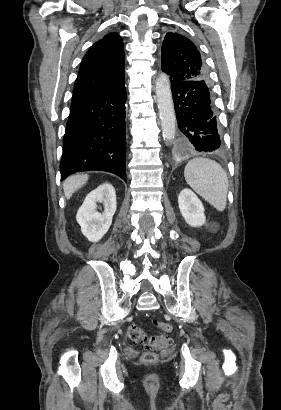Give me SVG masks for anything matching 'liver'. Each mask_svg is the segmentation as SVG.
I'll return each instance as SVG.
<instances>
[{
  "label": "liver",
  "instance_id": "1",
  "mask_svg": "<svg viewBox=\"0 0 281 410\" xmlns=\"http://www.w3.org/2000/svg\"><path fill=\"white\" fill-rule=\"evenodd\" d=\"M88 181V175H75L67 178L63 183V190L65 197L70 199L74 192L84 186Z\"/></svg>",
  "mask_w": 281,
  "mask_h": 410
}]
</instances>
